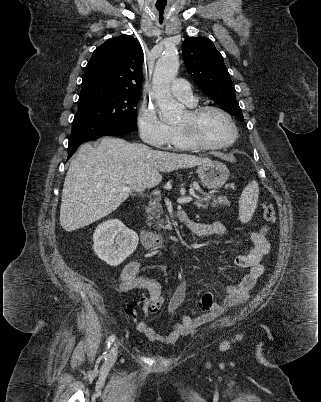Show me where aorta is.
Instances as JSON below:
<instances>
[{
	"label": "aorta",
	"instance_id": "762f6f07",
	"mask_svg": "<svg viewBox=\"0 0 321 402\" xmlns=\"http://www.w3.org/2000/svg\"><path fill=\"white\" fill-rule=\"evenodd\" d=\"M178 69L179 57L175 49L165 51L155 65L151 95L160 109L162 120L176 118L184 109L170 93V84L177 76Z\"/></svg>",
	"mask_w": 321,
	"mask_h": 402
}]
</instances>
